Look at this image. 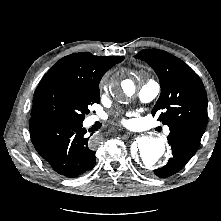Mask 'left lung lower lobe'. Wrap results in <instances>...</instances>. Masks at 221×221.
Segmentation results:
<instances>
[{"mask_svg":"<svg viewBox=\"0 0 221 221\" xmlns=\"http://www.w3.org/2000/svg\"><path fill=\"white\" fill-rule=\"evenodd\" d=\"M169 129L172 157L165 166L154 170L160 178H167L180 171L197 151L203 135L181 126H172Z\"/></svg>","mask_w":221,"mask_h":221,"instance_id":"1","label":"left lung lower lobe"}]
</instances>
